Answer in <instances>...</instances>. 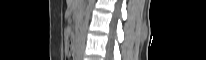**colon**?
<instances>
[{
    "label": "colon",
    "mask_w": 206,
    "mask_h": 60,
    "mask_svg": "<svg viewBox=\"0 0 206 60\" xmlns=\"http://www.w3.org/2000/svg\"><path fill=\"white\" fill-rule=\"evenodd\" d=\"M65 36L68 42V55L71 56L73 54V45H72V40H73V31L71 27H67L65 30Z\"/></svg>",
    "instance_id": "obj_1"
}]
</instances>
